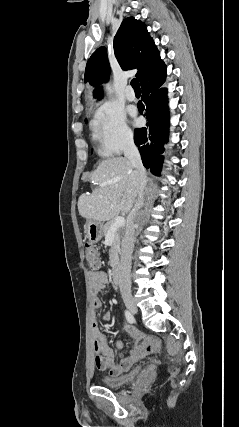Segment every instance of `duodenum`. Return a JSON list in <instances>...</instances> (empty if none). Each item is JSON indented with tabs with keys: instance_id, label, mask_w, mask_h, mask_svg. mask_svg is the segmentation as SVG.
I'll list each match as a JSON object with an SVG mask.
<instances>
[{
	"instance_id": "obj_1",
	"label": "duodenum",
	"mask_w": 239,
	"mask_h": 427,
	"mask_svg": "<svg viewBox=\"0 0 239 427\" xmlns=\"http://www.w3.org/2000/svg\"><path fill=\"white\" fill-rule=\"evenodd\" d=\"M121 277V266L118 262H114L112 265V278L114 282H118Z\"/></svg>"
}]
</instances>
